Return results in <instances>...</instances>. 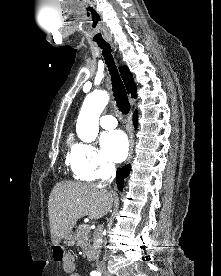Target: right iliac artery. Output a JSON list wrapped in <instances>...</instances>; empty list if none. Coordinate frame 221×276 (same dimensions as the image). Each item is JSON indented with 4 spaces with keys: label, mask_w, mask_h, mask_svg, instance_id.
Instances as JSON below:
<instances>
[{
    "label": "right iliac artery",
    "mask_w": 221,
    "mask_h": 276,
    "mask_svg": "<svg viewBox=\"0 0 221 276\" xmlns=\"http://www.w3.org/2000/svg\"><path fill=\"white\" fill-rule=\"evenodd\" d=\"M91 276H101L100 272L92 271Z\"/></svg>",
    "instance_id": "obj_1"
}]
</instances>
